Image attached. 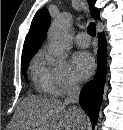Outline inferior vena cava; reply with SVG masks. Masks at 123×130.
Returning <instances> with one entry per match:
<instances>
[{
	"label": "inferior vena cava",
	"instance_id": "obj_1",
	"mask_svg": "<svg viewBox=\"0 0 123 130\" xmlns=\"http://www.w3.org/2000/svg\"><path fill=\"white\" fill-rule=\"evenodd\" d=\"M80 96V87L77 82L74 80L69 81L68 90H67V96L65 98V104H78ZM75 110H78V108H75Z\"/></svg>",
	"mask_w": 123,
	"mask_h": 130
}]
</instances>
